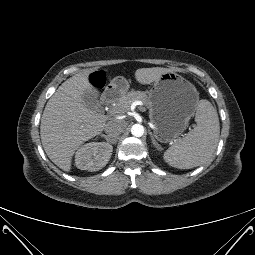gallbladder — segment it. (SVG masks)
Instances as JSON below:
<instances>
[{"label":"gallbladder","mask_w":255,"mask_h":255,"mask_svg":"<svg viewBox=\"0 0 255 255\" xmlns=\"http://www.w3.org/2000/svg\"><path fill=\"white\" fill-rule=\"evenodd\" d=\"M82 101L83 104L91 109H95L97 104H98V99L95 96V94H93L90 91H85L82 95Z\"/></svg>","instance_id":"bac80fb5"}]
</instances>
